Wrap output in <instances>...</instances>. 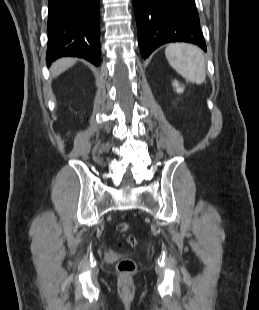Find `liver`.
I'll return each mask as SVG.
<instances>
[{"label":"liver","instance_id":"1","mask_svg":"<svg viewBox=\"0 0 259 310\" xmlns=\"http://www.w3.org/2000/svg\"><path fill=\"white\" fill-rule=\"evenodd\" d=\"M76 62L74 58H62L57 60L50 68L53 77H57L62 72L73 66Z\"/></svg>","mask_w":259,"mask_h":310}]
</instances>
